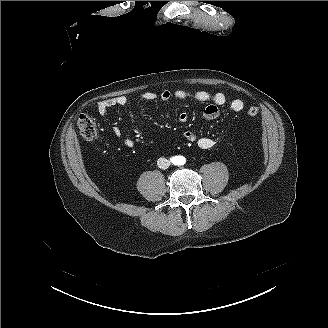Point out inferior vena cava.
I'll return each instance as SVG.
<instances>
[{"mask_svg": "<svg viewBox=\"0 0 328 328\" xmlns=\"http://www.w3.org/2000/svg\"><path fill=\"white\" fill-rule=\"evenodd\" d=\"M170 161L166 158H159L157 161V165L159 168L167 169L170 166Z\"/></svg>", "mask_w": 328, "mask_h": 328, "instance_id": "obj_1", "label": "inferior vena cava"}]
</instances>
